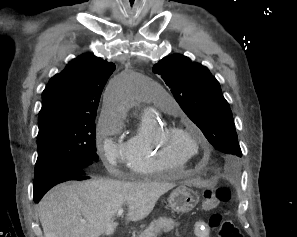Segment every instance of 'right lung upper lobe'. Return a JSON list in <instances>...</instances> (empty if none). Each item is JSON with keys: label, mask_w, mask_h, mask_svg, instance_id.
Listing matches in <instances>:
<instances>
[{"label": "right lung upper lobe", "mask_w": 297, "mask_h": 237, "mask_svg": "<svg viewBox=\"0 0 297 237\" xmlns=\"http://www.w3.org/2000/svg\"><path fill=\"white\" fill-rule=\"evenodd\" d=\"M115 64L83 54L53 76L42 93L38 124L58 117H95L101 92Z\"/></svg>", "instance_id": "cb5924a9"}]
</instances>
